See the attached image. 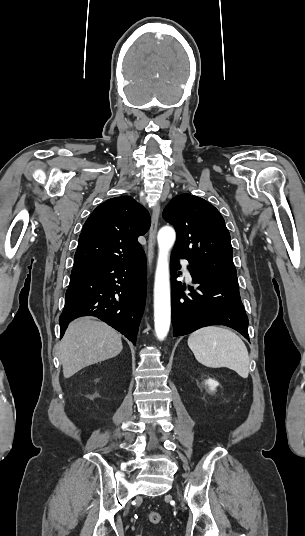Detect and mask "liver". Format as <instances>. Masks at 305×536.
I'll return each mask as SVG.
<instances>
[{
    "mask_svg": "<svg viewBox=\"0 0 305 536\" xmlns=\"http://www.w3.org/2000/svg\"><path fill=\"white\" fill-rule=\"evenodd\" d=\"M122 350L116 330L99 320L78 318L69 324L59 344L58 358L64 378H71L86 366L115 358Z\"/></svg>",
    "mask_w": 305,
    "mask_h": 536,
    "instance_id": "liver-1",
    "label": "liver"
}]
</instances>
